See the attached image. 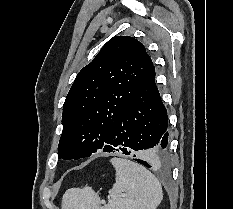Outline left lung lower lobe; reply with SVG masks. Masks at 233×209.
Wrapping results in <instances>:
<instances>
[{
	"mask_svg": "<svg viewBox=\"0 0 233 209\" xmlns=\"http://www.w3.org/2000/svg\"><path fill=\"white\" fill-rule=\"evenodd\" d=\"M167 127V111L155 84V68L152 65L113 123L103 151H122L131 155V150H142L147 157L135 161L148 168L163 165L167 161Z\"/></svg>",
	"mask_w": 233,
	"mask_h": 209,
	"instance_id": "1",
	"label": "left lung lower lobe"
}]
</instances>
